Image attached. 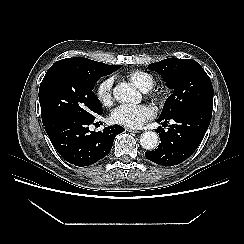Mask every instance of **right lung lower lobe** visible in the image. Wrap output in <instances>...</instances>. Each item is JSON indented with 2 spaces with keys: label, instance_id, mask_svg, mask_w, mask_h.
<instances>
[{
  "label": "right lung lower lobe",
  "instance_id": "98d812e1",
  "mask_svg": "<svg viewBox=\"0 0 244 244\" xmlns=\"http://www.w3.org/2000/svg\"><path fill=\"white\" fill-rule=\"evenodd\" d=\"M94 119L60 117L43 125L57 152L67 162L82 167L104 158L110 152L116 135L124 131L123 127L116 124L103 131L90 132L89 125Z\"/></svg>",
  "mask_w": 244,
  "mask_h": 244
}]
</instances>
